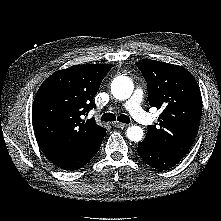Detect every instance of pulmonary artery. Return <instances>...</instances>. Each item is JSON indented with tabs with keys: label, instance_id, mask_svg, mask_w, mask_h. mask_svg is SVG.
Returning a JSON list of instances; mask_svg holds the SVG:
<instances>
[{
	"label": "pulmonary artery",
	"instance_id": "obj_1",
	"mask_svg": "<svg viewBox=\"0 0 221 221\" xmlns=\"http://www.w3.org/2000/svg\"><path fill=\"white\" fill-rule=\"evenodd\" d=\"M142 99L143 92L140 88H137L130 99L125 102L124 107L137 122L143 125H150L153 122V118L143 110L141 106Z\"/></svg>",
	"mask_w": 221,
	"mask_h": 221
}]
</instances>
